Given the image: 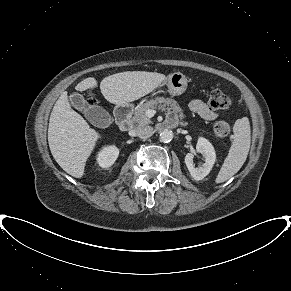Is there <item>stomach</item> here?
I'll list each match as a JSON object with an SVG mask.
<instances>
[{
    "label": "stomach",
    "instance_id": "0dacf381",
    "mask_svg": "<svg viewBox=\"0 0 291 291\" xmlns=\"http://www.w3.org/2000/svg\"><path fill=\"white\" fill-rule=\"evenodd\" d=\"M161 86H165L173 96L181 95L187 89V78L180 72L171 73L165 78Z\"/></svg>",
    "mask_w": 291,
    "mask_h": 291
}]
</instances>
